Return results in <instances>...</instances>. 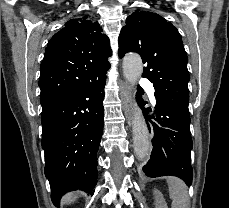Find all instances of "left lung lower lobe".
I'll return each mask as SVG.
<instances>
[{
  "label": "left lung lower lobe",
  "mask_w": 229,
  "mask_h": 208,
  "mask_svg": "<svg viewBox=\"0 0 229 208\" xmlns=\"http://www.w3.org/2000/svg\"><path fill=\"white\" fill-rule=\"evenodd\" d=\"M155 97L157 101L152 116L147 115L152 110L144 108L146 102L139 97V105L146 118H153L156 121V123L152 122L153 150L150 160L143 167V172L151 178L165 175L177 176L189 186L193 180L190 116L171 108L166 102Z\"/></svg>",
  "instance_id": "obj_1"
}]
</instances>
